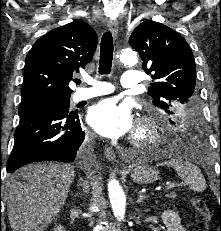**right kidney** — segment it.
<instances>
[{"label":"right kidney","mask_w":221,"mask_h":231,"mask_svg":"<svg viewBox=\"0 0 221 231\" xmlns=\"http://www.w3.org/2000/svg\"><path fill=\"white\" fill-rule=\"evenodd\" d=\"M54 231H65V229L61 226V225H58Z\"/></svg>","instance_id":"obj_1"}]
</instances>
